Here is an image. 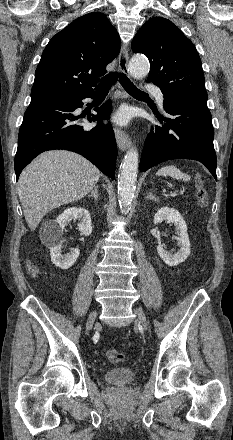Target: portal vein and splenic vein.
I'll return each instance as SVG.
<instances>
[{
	"label": "portal vein and splenic vein",
	"mask_w": 233,
	"mask_h": 440,
	"mask_svg": "<svg viewBox=\"0 0 233 440\" xmlns=\"http://www.w3.org/2000/svg\"><path fill=\"white\" fill-rule=\"evenodd\" d=\"M180 194L182 195L183 194V191H180ZM177 195V192L175 191V192H171L170 194H169V196L170 197H175Z\"/></svg>",
	"instance_id": "obj_1"
}]
</instances>
